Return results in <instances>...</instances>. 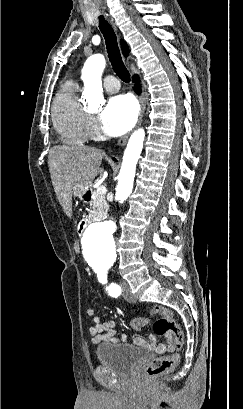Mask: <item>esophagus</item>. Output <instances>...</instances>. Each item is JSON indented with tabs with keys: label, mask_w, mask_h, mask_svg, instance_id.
I'll return each instance as SVG.
<instances>
[{
	"label": "esophagus",
	"mask_w": 243,
	"mask_h": 409,
	"mask_svg": "<svg viewBox=\"0 0 243 409\" xmlns=\"http://www.w3.org/2000/svg\"><path fill=\"white\" fill-rule=\"evenodd\" d=\"M111 22L113 23V20H111ZM114 28L116 29L115 23H113ZM139 103H140V112H139V118H138V123H137V127L141 124L142 118H143V114L146 108V102H145V98L143 96V94L139 95ZM129 135H125L123 137H121L118 141V145L119 146H124L128 140Z\"/></svg>",
	"instance_id": "obj_1"
}]
</instances>
